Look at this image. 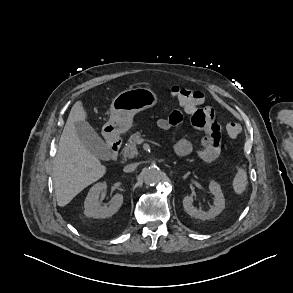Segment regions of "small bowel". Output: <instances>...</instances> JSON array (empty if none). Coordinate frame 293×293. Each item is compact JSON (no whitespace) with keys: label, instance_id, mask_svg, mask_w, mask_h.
Here are the masks:
<instances>
[{"label":"small bowel","instance_id":"small-bowel-1","mask_svg":"<svg viewBox=\"0 0 293 293\" xmlns=\"http://www.w3.org/2000/svg\"><path fill=\"white\" fill-rule=\"evenodd\" d=\"M200 115L192 114V125L195 129L201 130L203 136L200 141V149L197 151L198 157L205 162L216 160L220 154L221 132L216 121L214 110L210 107L199 109ZM187 112V111H186ZM183 119L180 110H174L168 118L157 121V126L162 130L178 129ZM179 155H188L193 151L192 143L186 138H180L174 147Z\"/></svg>","mask_w":293,"mask_h":293}]
</instances>
